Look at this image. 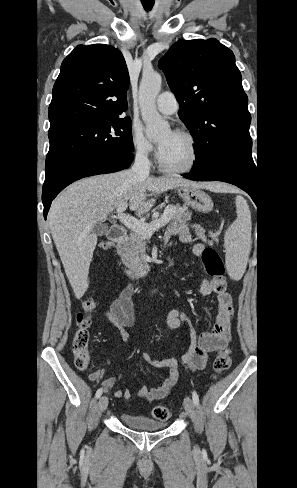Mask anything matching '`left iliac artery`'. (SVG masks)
Instances as JSON below:
<instances>
[{"mask_svg": "<svg viewBox=\"0 0 297 488\" xmlns=\"http://www.w3.org/2000/svg\"><path fill=\"white\" fill-rule=\"evenodd\" d=\"M192 399H193V403L196 406H199V397H198V394H197L196 391H193V393H192Z\"/></svg>", "mask_w": 297, "mask_h": 488, "instance_id": "44dca946", "label": "left iliac artery"}]
</instances>
